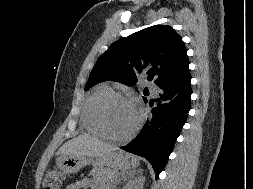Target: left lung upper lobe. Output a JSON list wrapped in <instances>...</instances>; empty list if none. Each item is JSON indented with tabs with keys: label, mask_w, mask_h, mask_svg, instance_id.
<instances>
[{
	"label": "left lung upper lobe",
	"mask_w": 253,
	"mask_h": 189,
	"mask_svg": "<svg viewBox=\"0 0 253 189\" xmlns=\"http://www.w3.org/2000/svg\"><path fill=\"white\" fill-rule=\"evenodd\" d=\"M182 38L171 26L154 25L113 43L92 69L84 90L103 81L127 86L144 72L157 86L169 80L188 58ZM147 102L146 97H143Z\"/></svg>",
	"instance_id": "5c2ea615"
}]
</instances>
